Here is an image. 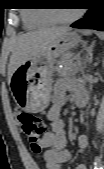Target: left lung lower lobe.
<instances>
[{"label": "left lung lower lobe", "mask_w": 104, "mask_h": 169, "mask_svg": "<svg viewBox=\"0 0 104 169\" xmlns=\"http://www.w3.org/2000/svg\"><path fill=\"white\" fill-rule=\"evenodd\" d=\"M71 27L104 31V10L92 8L83 19L73 23Z\"/></svg>", "instance_id": "0a47b994"}]
</instances>
